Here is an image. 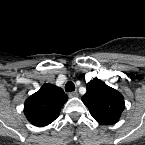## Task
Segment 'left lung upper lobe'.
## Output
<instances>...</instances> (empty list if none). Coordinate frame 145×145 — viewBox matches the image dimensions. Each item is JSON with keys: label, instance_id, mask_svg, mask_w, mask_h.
<instances>
[{"label": "left lung upper lobe", "instance_id": "1", "mask_svg": "<svg viewBox=\"0 0 145 145\" xmlns=\"http://www.w3.org/2000/svg\"><path fill=\"white\" fill-rule=\"evenodd\" d=\"M86 88L82 101L92 117L103 125L115 124L125 107L122 94L99 79L90 81Z\"/></svg>", "mask_w": 145, "mask_h": 145}]
</instances>
